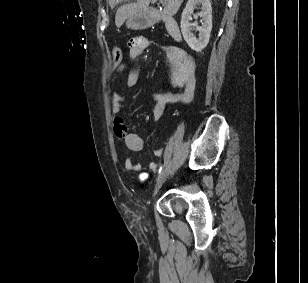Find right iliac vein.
<instances>
[{
	"instance_id": "right-iliac-vein-1",
	"label": "right iliac vein",
	"mask_w": 308,
	"mask_h": 283,
	"mask_svg": "<svg viewBox=\"0 0 308 283\" xmlns=\"http://www.w3.org/2000/svg\"><path fill=\"white\" fill-rule=\"evenodd\" d=\"M166 175H167V170H166V169L163 170V171L160 173V175H159V177H158V179H157V183H156L154 192H153V197L157 194V192H158L159 188L161 187V185H162V183H163V181H164Z\"/></svg>"
}]
</instances>
